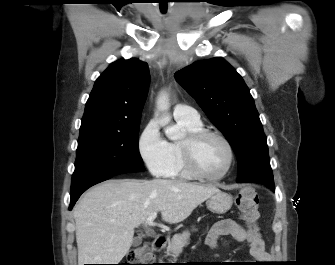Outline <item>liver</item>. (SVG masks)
Listing matches in <instances>:
<instances>
[{"instance_id": "1", "label": "liver", "mask_w": 335, "mask_h": 265, "mask_svg": "<svg viewBox=\"0 0 335 265\" xmlns=\"http://www.w3.org/2000/svg\"><path fill=\"white\" fill-rule=\"evenodd\" d=\"M220 190L175 180H108L79 200L73 209L78 265L118 264L129 252L134 229L153 213L176 224Z\"/></svg>"}]
</instances>
